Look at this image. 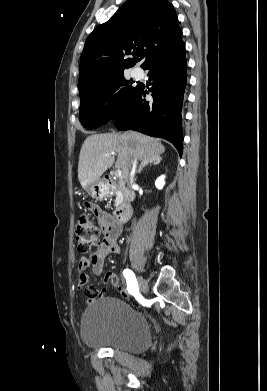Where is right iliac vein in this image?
Wrapping results in <instances>:
<instances>
[{
  "label": "right iliac vein",
  "mask_w": 267,
  "mask_h": 391,
  "mask_svg": "<svg viewBox=\"0 0 267 391\" xmlns=\"http://www.w3.org/2000/svg\"><path fill=\"white\" fill-rule=\"evenodd\" d=\"M138 283H139V288H140L141 292L145 293L148 288L147 281L142 276H139Z\"/></svg>",
  "instance_id": "right-iliac-vein-1"
}]
</instances>
